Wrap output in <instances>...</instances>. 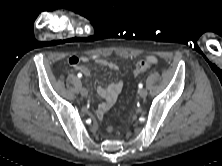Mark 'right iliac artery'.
Returning a JSON list of instances; mask_svg holds the SVG:
<instances>
[{
    "label": "right iliac artery",
    "mask_w": 222,
    "mask_h": 166,
    "mask_svg": "<svg viewBox=\"0 0 222 166\" xmlns=\"http://www.w3.org/2000/svg\"><path fill=\"white\" fill-rule=\"evenodd\" d=\"M77 76H78L79 78H81V77H82V74H81V73H78Z\"/></svg>",
    "instance_id": "1"
}]
</instances>
